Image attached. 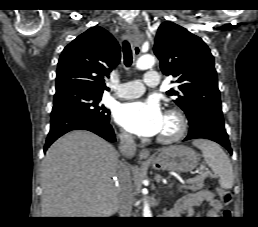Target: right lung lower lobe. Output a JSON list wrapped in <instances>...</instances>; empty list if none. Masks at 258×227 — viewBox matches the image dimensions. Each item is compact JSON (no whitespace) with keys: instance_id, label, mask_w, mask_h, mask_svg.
Returning <instances> with one entry per match:
<instances>
[{"instance_id":"98d812e1","label":"right lung lower lobe","mask_w":258,"mask_h":227,"mask_svg":"<svg viewBox=\"0 0 258 227\" xmlns=\"http://www.w3.org/2000/svg\"><path fill=\"white\" fill-rule=\"evenodd\" d=\"M78 129L94 132L109 142H116L114 130L109 122H98L93 118L79 113L61 111L51 114V127L45 143L44 152L57 138L71 130Z\"/></svg>"}]
</instances>
